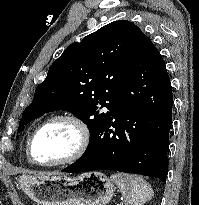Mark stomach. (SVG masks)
<instances>
[{
	"label": "stomach",
	"instance_id": "stomach-1",
	"mask_svg": "<svg viewBox=\"0 0 199 205\" xmlns=\"http://www.w3.org/2000/svg\"><path fill=\"white\" fill-rule=\"evenodd\" d=\"M20 187L38 205H106L116 190L102 172L71 178L60 175L21 176Z\"/></svg>",
	"mask_w": 199,
	"mask_h": 205
}]
</instances>
